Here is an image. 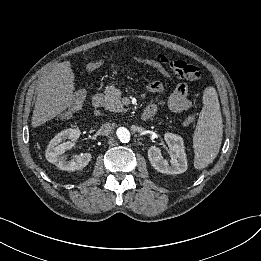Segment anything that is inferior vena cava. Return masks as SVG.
Segmentation results:
<instances>
[{"label":"inferior vena cava","mask_w":261,"mask_h":261,"mask_svg":"<svg viewBox=\"0 0 261 261\" xmlns=\"http://www.w3.org/2000/svg\"><path fill=\"white\" fill-rule=\"evenodd\" d=\"M100 134L101 135H109L112 132V126L110 123L106 122L100 127Z\"/></svg>","instance_id":"obj_1"}]
</instances>
